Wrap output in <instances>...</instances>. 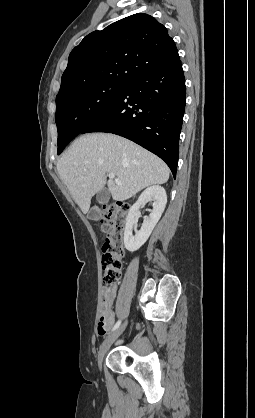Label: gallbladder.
<instances>
[{"instance_id":"1","label":"gallbladder","mask_w":255,"mask_h":418,"mask_svg":"<svg viewBox=\"0 0 255 418\" xmlns=\"http://www.w3.org/2000/svg\"><path fill=\"white\" fill-rule=\"evenodd\" d=\"M96 198H97V201H98L99 203H107V202H108V200H109V198H110V191H109V189H108L107 187H104L103 189H101V190L97 193ZM99 213H100V211H99L96 207H94V208H93V209H91V211H90V215H91L92 217H96V216H98V215H99Z\"/></svg>"}]
</instances>
